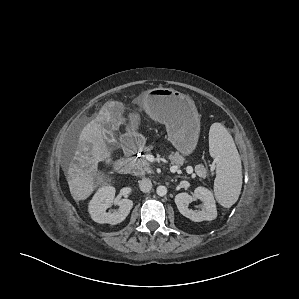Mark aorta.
<instances>
[{"label":"aorta","instance_id":"762f6f07","mask_svg":"<svg viewBox=\"0 0 299 299\" xmlns=\"http://www.w3.org/2000/svg\"><path fill=\"white\" fill-rule=\"evenodd\" d=\"M156 193H157V195L163 197L167 194V188L163 185H160L157 187Z\"/></svg>","mask_w":299,"mask_h":299}]
</instances>
